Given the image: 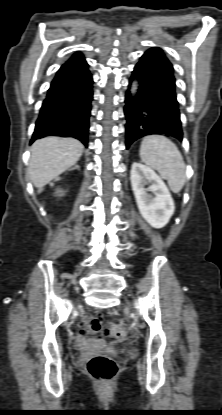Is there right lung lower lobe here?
<instances>
[{"instance_id": "right-lung-lower-lobe-1", "label": "right lung lower lobe", "mask_w": 222, "mask_h": 415, "mask_svg": "<svg viewBox=\"0 0 222 415\" xmlns=\"http://www.w3.org/2000/svg\"><path fill=\"white\" fill-rule=\"evenodd\" d=\"M92 84L87 62L81 53H75L51 82L31 143L44 136L59 135L76 138L87 146Z\"/></svg>"}]
</instances>
